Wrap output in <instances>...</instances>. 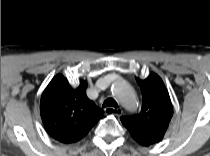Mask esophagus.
<instances>
[{
    "label": "esophagus",
    "instance_id": "esophagus-1",
    "mask_svg": "<svg viewBox=\"0 0 210 156\" xmlns=\"http://www.w3.org/2000/svg\"><path fill=\"white\" fill-rule=\"evenodd\" d=\"M112 109H113L112 107H107V108L104 109V111H105L106 114H110V112H111ZM117 110H118L117 111V115L123 114V111H122L121 108H118Z\"/></svg>",
    "mask_w": 210,
    "mask_h": 156
}]
</instances>
